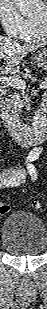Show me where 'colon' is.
<instances>
[{
  "label": "colon",
  "instance_id": "obj_1",
  "mask_svg": "<svg viewBox=\"0 0 47 309\" xmlns=\"http://www.w3.org/2000/svg\"><path fill=\"white\" fill-rule=\"evenodd\" d=\"M32 207L37 210L41 208L40 203L37 201L32 203ZM9 211H10V207L8 205L0 206V214L4 215V214H7Z\"/></svg>",
  "mask_w": 47,
  "mask_h": 309
}]
</instances>
